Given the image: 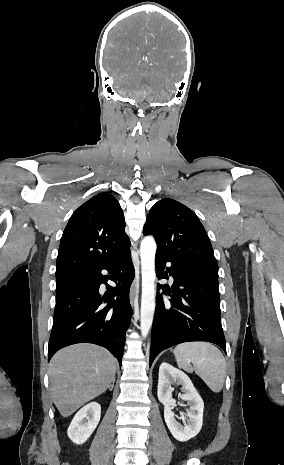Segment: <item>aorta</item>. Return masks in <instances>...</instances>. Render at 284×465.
I'll return each mask as SVG.
<instances>
[{
  "label": "aorta",
  "instance_id": "obj_1",
  "mask_svg": "<svg viewBox=\"0 0 284 465\" xmlns=\"http://www.w3.org/2000/svg\"><path fill=\"white\" fill-rule=\"evenodd\" d=\"M156 248V242L152 236L144 237L140 247L142 274L140 330L144 338L152 326L155 312Z\"/></svg>",
  "mask_w": 284,
  "mask_h": 465
}]
</instances>
